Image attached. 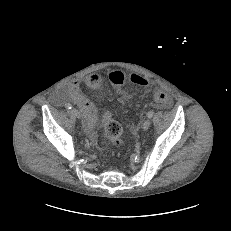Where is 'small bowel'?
Listing matches in <instances>:
<instances>
[{"label": "small bowel", "instance_id": "1", "mask_svg": "<svg viewBox=\"0 0 231 231\" xmlns=\"http://www.w3.org/2000/svg\"><path fill=\"white\" fill-rule=\"evenodd\" d=\"M86 84L91 89H96L100 85L98 75H91L87 78ZM120 99L126 101L131 98V94L120 87H114ZM60 94L63 98L71 100L75 103L84 115V128L92 142H97L98 135L95 130L97 122V110L94 104L89 101L81 92V83L79 80L71 81L67 86L60 89Z\"/></svg>", "mask_w": 231, "mask_h": 231}]
</instances>
